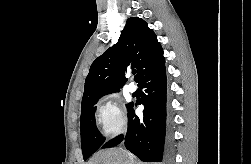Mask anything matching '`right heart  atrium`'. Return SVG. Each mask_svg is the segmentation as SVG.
Wrapping results in <instances>:
<instances>
[{
  "mask_svg": "<svg viewBox=\"0 0 251 164\" xmlns=\"http://www.w3.org/2000/svg\"><path fill=\"white\" fill-rule=\"evenodd\" d=\"M96 118L102 134L108 139L120 135L127 126L124 108L113 98H107L99 105Z\"/></svg>",
  "mask_w": 251,
  "mask_h": 164,
  "instance_id": "right-heart-atrium-1",
  "label": "right heart atrium"
}]
</instances>
